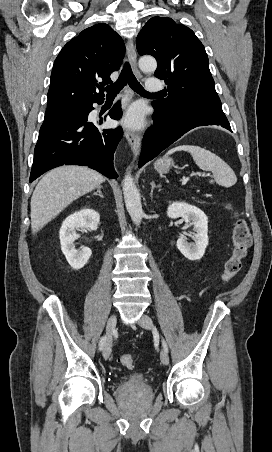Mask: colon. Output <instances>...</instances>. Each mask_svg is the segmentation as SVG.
I'll return each mask as SVG.
<instances>
[{"label":"colon","instance_id":"5ec220e1","mask_svg":"<svg viewBox=\"0 0 272 452\" xmlns=\"http://www.w3.org/2000/svg\"><path fill=\"white\" fill-rule=\"evenodd\" d=\"M235 225L232 233L233 249L231 256L225 263L222 274V282L224 284L230 282L241 270L242 262L247 256L248 249L251 245L250 231L247 222L242 217L235 214ZM120 362L127 368H132L135 363L132 354H123Z\"/></svg>","mask_w":272,"mask_h":452}]
</instances>
